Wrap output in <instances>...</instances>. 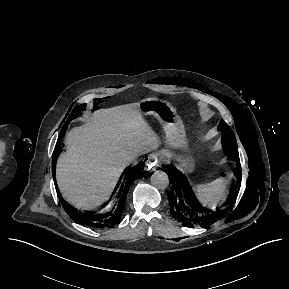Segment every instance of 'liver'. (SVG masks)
I'll list each match as a JSON object with an SVG mask.
<instances>
[{
	"label": "liver",
	"instance_id": "1",
	"mask_svg": "<svg viewBox=\"0 0 289 289\" xmlns=\"http://www.w3.org/2000/svg\"><path fill=\"white\" fill-rule=\"evenodd\" d=\"M66 146L56 165L58 188L76 208L94 209L108 199L130 159L155 149L158 138L132 103L97 111L70 130Z\"/></svg>",
	"mask_w": 289,
	"mask_h": 289
}]
</instances>
